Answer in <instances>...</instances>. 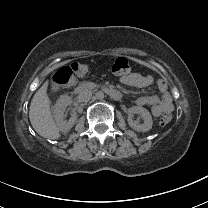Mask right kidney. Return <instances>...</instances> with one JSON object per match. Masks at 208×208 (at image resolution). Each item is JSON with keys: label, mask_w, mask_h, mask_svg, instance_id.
<instances>
[{"label": "right kidney", "mask_w": 208, "mask_h": 208, "mask_svg": "<svg viewBox=\"0 0 208 208\" xmlns=\"http://www.w3.org/2000/svg\"><path fill=\"white\" fill-rule=\"evenodd\" d=\"M72 106V99L67 95H62L53 108V114L59 130L63 133L68 132L77 122L76 111L71 112V117L66 118L65 109Z\"/></svg>", "instance_id": "1"}]
</instances>
